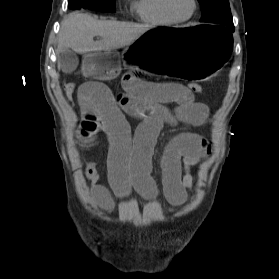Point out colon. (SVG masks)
I'll return each mask as SVG.
<instances>
[{"mask_svg": "<svg viewBox=\"0 0 279 279\" xmlns=\"http://www.w3.org/2000/svg\"><path fill=\"white\" fill-rule=\"evenodd\" d=\"M188 91L192 94H197L202 91V86L198 83H191L187 87ZM64 93L67 99H72L77 93V87L74 83L64 85Z\"/></svg>", "mask_w": 279, "mask_h": 279, "instance_id": "obj_1", "label": "colon"}]
</instances>
